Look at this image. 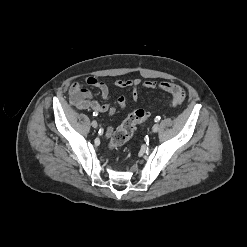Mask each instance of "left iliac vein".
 Instances as JSON below:
<instances>
[{
  "label": "left iliac vein",
  "mask_w": 247,
  "mask_h": 247,
  "mask_svg": "<svg viewBox=\"0 0 247 247\" xmlns=\"http://www.w3.org/2000/svg\"><path fill=\"white\" fill-rule=\"evenodd\" d=\"M159 130V125L158 124H154L152 127V131L153 132H157Z\"/></svg>",
  "instance_id": "4c4485c4"
}]
</instances>
